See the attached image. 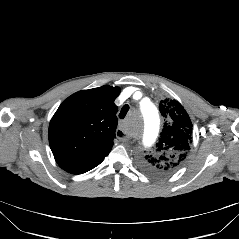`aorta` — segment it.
Segmentation results:
<instances>
[{
    "label": "aorta",
    "instance_id": "1",
    "mask_svg": "<svg viewBox=\"0 0 239 239\" xmlns=\"http://www.w3.org/2000/svg\"><path fill=\"white\" fill-rule=\"evenodd\" d=\"M139 110L143 114V123L145 125L142 148L151 149L154 147L157 139L156 128L157 123L159 122L158 110L150 101H142Z\"/></svg>",
    "mask_w": 239,
    "mask_h": 239
}]
</instances>
